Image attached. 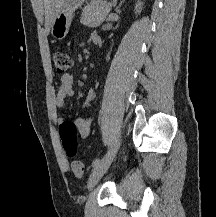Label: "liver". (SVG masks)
<instances>
[{"mask_svg": "<svg viewBox=\"0 0 216 217\" xmlns=\"http://www.w3.org/2000/svg\"><path fill=\"white\" fill-rule=\"evenodd\" d=\"M65 0H43L45 12V28L49 32L55 15L62 7Z\"/></svg>", "mask_w": 216, "mask_h": 217, "instance_id": "1", "label": "liver"}]
</instances>
